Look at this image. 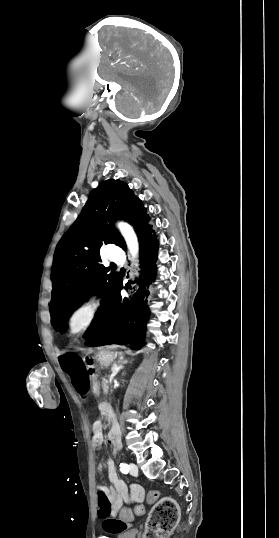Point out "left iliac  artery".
<instances>
[{
	"mask_svg": "<svg viewBox=\"0 0 279 538\" xmlns=\"http://www.w3.org/2000/svg\"><path fill=\"white\" fill-rule=\"evenodd\" d=\"M120 471L124 474H127L128 471H129V465L126 464V463H121L120 464Z\"/></svg>",
	"mask_w": 279,
	"mask_h": 538,
	"instance_id": "1",
	"label": "left iliac artery"
}]
</instances>
